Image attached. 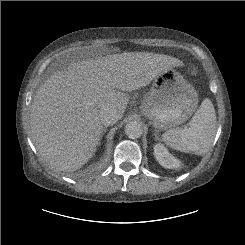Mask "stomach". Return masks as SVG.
Instances as JSON below:
<instances>
[{
    "label": "stomach",
    "mask_w": 245,
    "mask_h": 245,
    "mask_svg": "<svg viewBox=\"0 0 245 245\" xmlns=\"http://www.w3.org/2000/svg\"><path fill=\"white\" fill-rule=\"evenodd\" d=\"M198 94L175 69L160 72L141 105L142 113L157 130H170L186 122L195 112Z\"/></svg>",
    "instance_id": "stomach-1"
}]
</instances>
